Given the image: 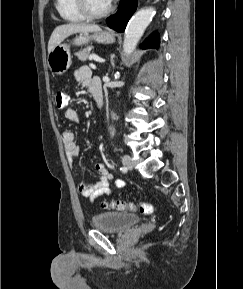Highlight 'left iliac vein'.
I'll return each instance as SVG.
<instances>
[{"mask_svg":"<svg viewBox=\"0 0 243 289\" xmlns=\"http://www.w3.org/2000/svg\"><path fill=\"white\" fill-rule=\"evenodd\" d=\"M122 162H123L124 167H126L127 169L133 168V162L129 155H124L122 158Z\"/></svg>","mask_w":243,"mask_h":289,"instance_id":"4c4485c4","label":"left iliac vein"}]
</instances>
